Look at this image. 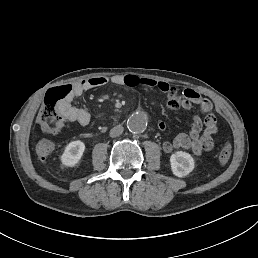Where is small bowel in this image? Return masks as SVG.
<instances>
[{
    "mask_svg": "<svg viewBox=\"0 0 258 258\" xmlns=\"http://www.w3.org/2000/svg\"><path fill=\"white\" fill-rule=\"evenodd\" d=\"M109 83L132 88L138 86L157 88L164 93L171 89L170 85L164 81L140 78L133 74L84 79L74 84L72 98L62 106L61 111L64 118L69 122H77L81 126H91L93 122L90 114L82 108L75 107L71 101L87 90L103 87ZM181 106L186 110L198 106L201 112L205 114L204 120L198 114H193L189 132L178 134L172 141L165 140L162 144L164 152L171 153L174 149H185L191 150L194 155L199 156L203 152L211 151L214 147L213 135L218 129L216 117L212 113L211 102L202 97L199 92L193 89H185L181 94ZM158 125L161 129L165 128L163 122H159ZM53 150L54 144L47 139L40 140L36 146V154L42 162L47 161Z\"/></svg>",
    "mask_w": 258,
    "mask_h": 258,
    "instance_id": "small-bowel-1",
    "label": "small bowel"
}]
</instances>
